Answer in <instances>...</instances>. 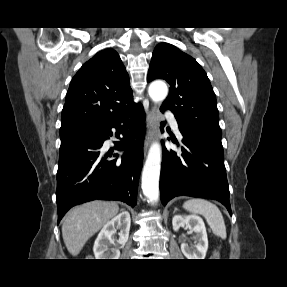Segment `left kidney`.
Listing matches in <instances>:
<instances>
[{
  "instance_id": "1",
  "label": "left kidney",
  "mask_w": 287,
  "mask_h": 287,
  "mask_svg": "<svg viewBox=\"0 0 287 287\" xmlns=\"http://www.w3.org/2000/svg\"><path fill=\"white\" fill-rule=\"evenodd\" d=\"M172 225L175 231L186 225L190 232L195 233L193 246L186 243L181 244L184 256L187 259H204L208 249V238L202 218L196 215H175L172 219Z\"/></svg>"
}]
</instances>
